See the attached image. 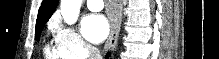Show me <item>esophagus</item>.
<instances>
[{"label": "esophagus", "mask_w": 219, "mask_h": 59, "mask_svg": "<svg viewBox=\"0 0 219 59\" xmlns=\"http://www.w3.org/2000/svg\"><path fill=\"white\" fill-rule=\"evenodd\" d=\"M114 7L117 12H121L122 10V4L121 0H115L114 1ZM120 32V24L117 19L113 21V19L110 20V34L106 41L105 47L106 50H112L117 43L118 37Z\"/></svg>", "instance_id": "1"}]
</instances>
